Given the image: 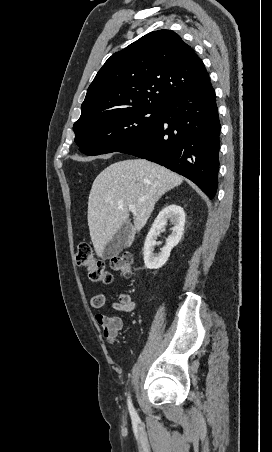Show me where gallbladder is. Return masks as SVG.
<instances>
[{
	"mask_svg": "<svg viewBox=\"0 0 272 452\" xmlns=\"http://www.w3.org/2000/svg\"><path fill=\"white\" fill-rule=\"evenodd\" d=\"M130 232L131 223L127 220L106 244L103 251V258L109 259L113 256H117L126 246Z\"/></svg>",
	"mask_w": 272,
	"mask_h": 452,
	"instance_id": "1",
	"label": "gallbladder"
}]
</instances>
